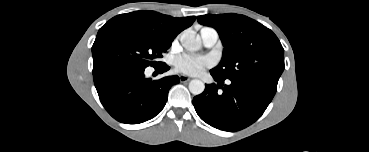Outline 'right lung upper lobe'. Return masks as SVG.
I'll return each mask as SVG.
<instances>
[{"mask_svg": "<svg viewBox=\"0 0 369 152\" xmlns=\"http://www.w3.org/2000/svg\"><path fill=\"white\" fill-rule=\"evenodd\" d=\"M142 28L155 36L173 41L184 29L195 21V16L174 18L154 11H136L116 16Z\"/></svg>", "mask_w": 369, "mask_h": 152, "instance_id": "obj_1", "label": "right lung upper lobe"}]
</instances>
